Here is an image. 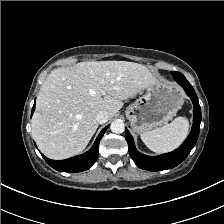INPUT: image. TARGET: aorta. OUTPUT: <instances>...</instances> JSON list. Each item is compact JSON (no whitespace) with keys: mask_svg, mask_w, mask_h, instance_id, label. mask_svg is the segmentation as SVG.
<instances>
[{"mask_svg":"<svg viewBox=\"0 0 224 224\" xmlns=\"http://www.w3.org/2000/svg\"><path fill=\"white\" fill-rule=\"evenodd\" d=\"M110 129L113 133L120 134L124 132L125 126L122 120L117 119L111 123Z\"/></svg>","mask_w":224,"mask_h":224,"instance_id":"obj_1","label":"aorta"}]
</instances>
